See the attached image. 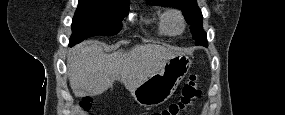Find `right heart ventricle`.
<instances>
[{"label":"right heart ventricle","mask_w":285,"mask_h":115,"mask_svg":"<svg viewBox=\"0 0 285 115\" xmlns=\"http://www.w3.org/2000/svg\"><path fill=\"white\" fill-rule=\"evenodd\" d=\"M157 28H158V32L162 35H172L166 24H165V21H164V14H161L158 18V23H157Z\"/></svg>","instance_id":"obj_1"}]
</instances>
